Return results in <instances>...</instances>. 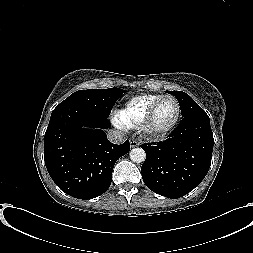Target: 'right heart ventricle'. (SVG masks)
Masks as SVG:
<instances>
[{
  "label": "right heart ventricle",
  "mask_w": 253,
  "mask_h": 253,
  "mask_svg": "<svg viewBox=\"0 0 253 253\" xmlns=\"http://www.w3.org/2000/svg\"><path fill=\"white\" fill-rule=\"evenodd\" d=\"M162 95L141 94L125 103L116 115L117 122L126 128H137L143 122L151 105Z\"/></svg>",
  "instance_id": "right-heart-ventricle-1"
}]
</instances>
